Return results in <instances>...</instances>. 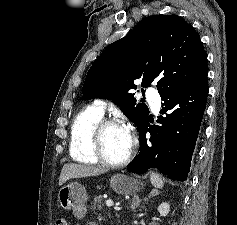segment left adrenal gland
Here are the masks:
<instances>
[{"instance_id": "1", "label": "left adrenal gland", "mask_w": 237, "mask_h": 225, "mask_svg": "<svg viewBox=\"0 0 237 225\" xmlns=\"http://www.w3.org/2000/svg\"><path fill=\"white\" fill-rule=\"evenodd\" d=\"M160 192L158 190H154L151 192L150 196H155L158 195ZM140 204V200L138 196H134L133 200H132V205L131 208L135 209L136 207H138Z\"/></svg>"}]
</instances>
